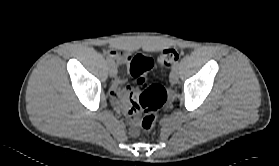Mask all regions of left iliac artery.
<instances>
[{
	"label": "left iliac artery",
	"instance_id": "left-iliac-artery-1",
	"mask_svg": "<svg viewBox=\"0 0 279 166\" xmlns=\"http://www.w3.org/2000/svg\"><path fill=\"white\" fill-rule=\"evenodd\" d=\"M178 62H176V63H174V65L172 66V69H175V68H177L178 67Z\"/></svg>",
	"mask_w": 279,
	"mask_h": 166
}]
</instances>
